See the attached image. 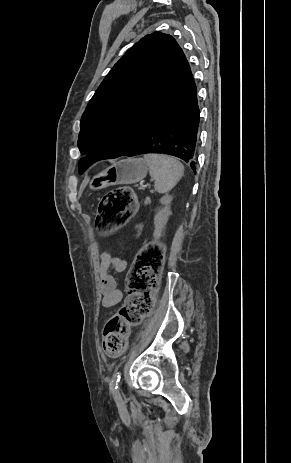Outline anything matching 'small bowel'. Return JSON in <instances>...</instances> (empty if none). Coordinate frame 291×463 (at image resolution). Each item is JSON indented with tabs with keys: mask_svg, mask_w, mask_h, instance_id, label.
Returning a JSON list of instances; mask_svg holds the SVG:
<instances>
[{
	"mask_svg": "<svg viewBox=\"0 0 291 463\" xmlns=\"http://www.w3.org/2000/svg\"><path fill=\"white\" fill-rule=\"evenodd\" d=\"M127 262L121 257L102 253L98 268L99 286L102 294L101 305L110 308L117 305L123 298V291L119 287L112 272H123Z\"/></svg>",
	"mask_w": 291,
	"mask_h": 463,
	"instance_id": "obj_1",
	"label": "small bowel"
}]
</instances>
